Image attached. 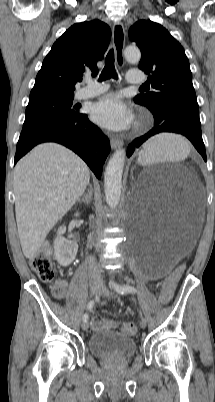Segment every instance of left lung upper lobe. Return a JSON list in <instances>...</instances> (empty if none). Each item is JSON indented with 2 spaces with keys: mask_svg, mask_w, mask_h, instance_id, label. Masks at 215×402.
I'll list each match as a JSON object with an SVG mask.
<instances>
[{
  "mask_svg": "<svg viewBox=\"0 0 215 402\" xmlns=\"http://www.w3.org/2000/svg\"><path fill=\"white\" fill-rule=\"evenodd\" d=\"M129 38L140 48L138 67L149 74L148 84L155 89L134 101L150 109H177L199 117L189 61L180 43L150 20L137 21L129 29Z\"/></svg>",
  "mask_w": 215,
  "mask_h": 402,
  "instance_id": "5c2ea615",
  "label": "left lung upper lobe"
}]
</instances>
